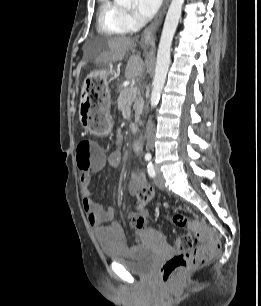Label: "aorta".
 I'll return each instance as SVG.
<instances>
[{
    "label": "aorta",
    "mask_w": 261,
    "mask_h": 306,
    "mask_svg": "<svg viewBox=\"0 0 261 306\" xmlns=\"http://www.w3.org/2000/svg\"><path fill=\"white\" fill-rule=\"evenodd\" d=\"M116 4L124 7L131 6L132 0H114ZM184 0H172L165 18L157 52V62L150 104L155 107L160 99L170 65V50L172 40L181 17Z\"/></svg>",
    "instance_id": "1"
}]
</instances>
